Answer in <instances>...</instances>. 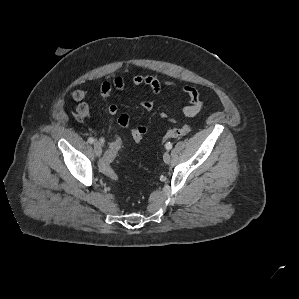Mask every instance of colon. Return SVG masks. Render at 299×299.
<instances>
[{
  "label": "colon",
  "instance_id": "5ec220e1",
  "mask_svg": "<svg viewBox=\"0 0 299 299\" xmlns=\"http://www.w3.org/2000/svg\"><path fill=\"white\" fill-rule=\"evenodd\" d=\"M191 128L188 125H183L177 128L169 129L165 136L164 140L177 139L189 134ZM146 132L140 127H134L131 129L130 135L132 140L135 143H140L145 136ZM123 146V139L120 136H117L110 142L108 149L100 161L99 168L103 175L110 181L114 182L118 179L117 173L114 170L112 163L117 157Z\"/></svg>",
  "mask_w": 299,
  "mask_h": 299
}]
</instances>
